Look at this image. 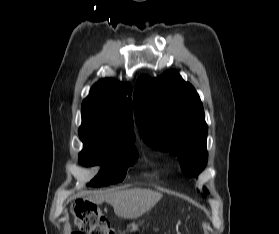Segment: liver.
<instances>
[{
    "label": "liver",
    "instance_id": "liver-1",
    "mask_svg": "<svg viewBox=\"0 0 279 234\" xmlns=\"http://www.w3.org/2000/svg\"><path fill=\"white\" fill-rule=\"evenodd\" d=\"M162 194L148 189H127L108 193H97L89 198L90 201L101 204L106 201L113 206L118 217L135 219L151 209L160 199Z\"/></svg>",
    "mask_w": 279,
    "mask_h": 234
}]
</instances>
